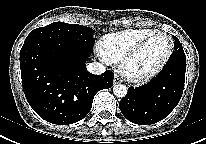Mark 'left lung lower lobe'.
<instances>
[{
  "label": "left lung lower lobe",
  "instance_id": "0a47b994",
  "mask_svg": "<svg viewBox=\"0 0 206 144\" xmlns=\"http://www.w3.org/2000/svg\"><path fill=\"white\" fill-rule=\"evenodd\" d=\"M186 71L183 47L175 49L163 70L149 83L129 87L120 101L122 114L131 122L151 125L166 117L181 99Z\"/></svg>",
  "mask_w": 206,
  "mask_h": 144
}]
</instances>
